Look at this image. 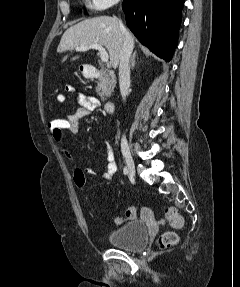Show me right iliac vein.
Instances as JSON below:
<instances>
[{"label":"right iliac vein","instance_id":"63e3f726","mask_svg":"<svg viewBox=\"0 0 240 287\" xmlns=\"http://www.w3.org/2000/svg\"><path fill=\"white\" fill-rule=\"evenodd\" d=\"M123 156L127 164L128 172L130 173L131 176H135V164L131 156V153L128 150H124Z\"/></svg>","mask_w":240,"mask_h":287}]
</instances>
